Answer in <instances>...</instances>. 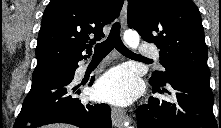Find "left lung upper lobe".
I'll use <instances>...</instances> for the list:
<instances>
[{"mask_svg":"<svg viewBox=\"0 0 221 128\" xmlns=\"http://www.w3.org/2000/svg\"><path fill=\"white\" fill-rule=\"evenodd\" d=\"M128 26L160 49L165 70L153 72L151 81L164 85L174 70L210 75L201 16L192 0H128Z\"/></svg>","mask_w":221,"mask_h":128,"instance_id":"5c2ea615","label":"left lung upper lobe"}]
</instances>
